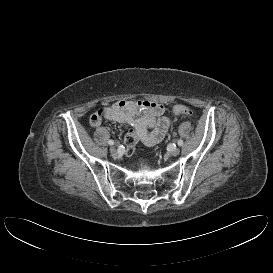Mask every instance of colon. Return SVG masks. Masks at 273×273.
Here are the masks:
<instances>
[{
	"instance_id": "5ec220e1",
	"label": "colon",
	"mask_w": 273,
	"mask_h": 273,
	"mask_svg": "<svg viewBox=\"0 0 273 273\" xmlns=\"http://www.w3.org/2000/svg\"><path fill=\"white\" fill-rule=\"evenodd\" d=\"M172 112L175 115L182 116V117H188V118L192 117L194 114L193 110L191 108H189L186 105H182V104L175 105L172 109Z\"/></svg>"
}]
</instances>
